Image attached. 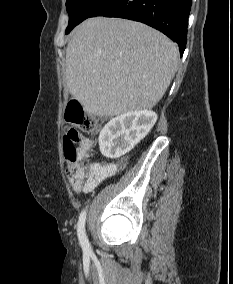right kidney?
Wrapping results in <instances>:
<instances>
[{"label":"right kidney","instance_id":"obj_1","mask_svg":"<svg viewBox=\"0 0 233 284\" xmlns=\"http://www.w3.org/2000/svg\"><path fill=\"white\" fill-rule=\"evenodd\" d=\"M157 114L150 110L121 114L110 120L99 135L101 153L108 158H119L137 145L152 129Z\"/></svg>","mask_w":233,"mask_h":284}]
</instances>
